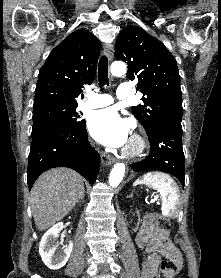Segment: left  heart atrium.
Wrapping results in <instances>:
<instances>
[{"label": "left heart atrium", "mask_w": 221, "mask_h": 278, "mask_svg": "<svg viewBox=\"0 0 221 278\" xmlns=\"http://www.w3.org/2000/svg\"><path fill=\"white\" fill-rule=\"evenodd\" d=\"M88 129L95 140L115 148L126 145L130 135L128 121L113 108L93 112L88 119Z\"/></svg>", "instance_id": "39dd6f15"}]
</instances>
